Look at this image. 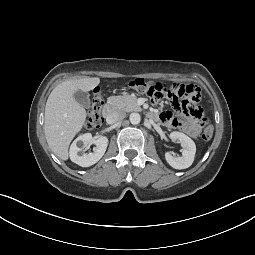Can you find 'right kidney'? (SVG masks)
<instances>
[{
    "label": "right kidney",
    "mask_w": 255,
    "mask_h": 255,
    "mask_svg": "<svg viewBox=\"0 0 255 255\" xmlns=\"http://www.w3.org/2000/svg\"><path fill=\"white\" fill-rule=\"evenodd\" d=\"M88 144H95L96 148L93 153L79 155V152L83 150ZM108 146L107 137H100L93 139L90 133H85L78 136L70 146V159L72 162L78 164L81 167H89L97 163L104 155Z\"/></svg>",
    "instance_id": "ca27d5eb"
}]
</instances>
